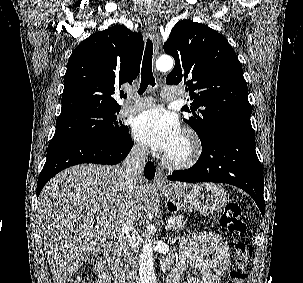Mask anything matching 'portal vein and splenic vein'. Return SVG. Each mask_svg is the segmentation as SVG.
Segmentation results:
<instances>
[{"label": "portal vein and splenic vein", "mask_w": 303, "mask_h": 283, "mask_svg": "<svg viewBox=\"0 0 303 283\" xmlns=\"http://www.w3.org/2000/svg\"><path fill=\"white\" fill-rule=\"evenodd\" d=\"M172 220L168 221V224L165 226V229H171Z\"/></svg>", "instance_id": "18ae733b"}]
</instances>
